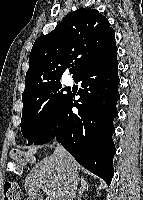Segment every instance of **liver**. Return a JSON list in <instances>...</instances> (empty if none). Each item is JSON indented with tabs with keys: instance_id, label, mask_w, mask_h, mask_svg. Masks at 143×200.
<instances>
[{
	"instance_id": "1",
	"label": "liver",
	"mask_w": 143,
	"mask_h": 200,
	"mask_svg": "<svg viewBox=\"0 0 143 200\" xmlns=\"http://www.w3.org/2000/svg\"><path fill=\"white\" fill-rule=\"evenodd\" d=\"M72 167L77 175L76 185L73 186V180L69 172ZM79 165L69 154L64 155L54 153L45 157L35 164L30 173L25 178V190L30 199L39 198L40 189L47 195L46 200H73L76 195L78 183L81 184L83 177H78ZM47 192H53L54 195H48Z\"/></svg>"
}]
</instances>
